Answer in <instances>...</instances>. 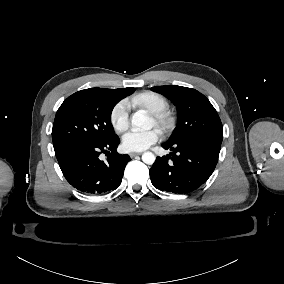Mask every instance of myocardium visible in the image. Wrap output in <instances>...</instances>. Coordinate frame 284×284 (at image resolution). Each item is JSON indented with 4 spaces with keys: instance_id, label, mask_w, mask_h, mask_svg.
Masks as SVG:
<instances>
[{
    "instance_id": "f54148a6",
    "label": "myocardium",
    "mask_w": 284,
    "mask_h": 284,
    "mask_svg": "<svg viewBox=\"0 0 284 284\" xmlns=\"http://www.w3.org/2000/svg\"><path fill=\"white\" fill-rule=\"evenodd\" d=\"M155 123L160 129L165 130L168 126V119L164 113H159L155 116Z\"/></svg>"
}]
</instances>
